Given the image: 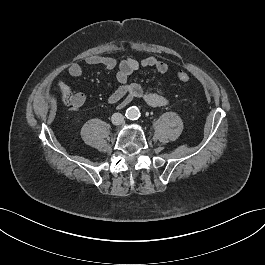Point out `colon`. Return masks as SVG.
Instances as JSON below:
<instances>
[{
    "label": "colon",
    "instance_id": "colon-1",
    "mask_svg": "<svg viewBox=\"0 0 265 265\" xmlns=\"http://www.w3.org/2000/svg\"><path fill=\"white\" fill-rule=\"evenodd\" d=\"M178 79L182 83H188L190 81V75L184 71L178 73Z\"/></svg>",
    "mask_w": 265,
    "mask_h": 265
}]
</instances>
